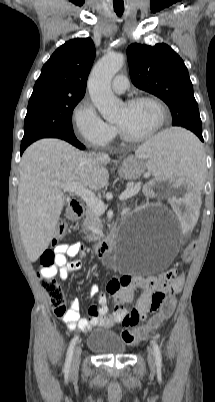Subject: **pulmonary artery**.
<instances>
[{"label": "pulmonary artery", "instance_id": "obj_1", "mask_svg": "<svg viewBox=\"0 0 215 402\" xmlns=\"http://www.w3.org/2000/svg\"><path fill=\"white\" fill-rule=\"evenodd\" d=\"M111 86L116 93L121 94L128 88V79L123 74L116 75L112 80Z\"/></svg>", "mask_w": 215, "mask_h": 402}]
</instances>
